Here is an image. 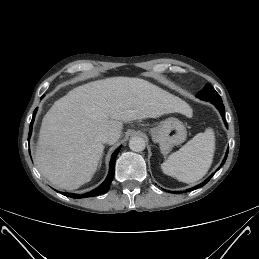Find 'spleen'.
Wrapping results in <instances>:
<instances>
[{
	"mask_svg": "<svg viewBox=\"0 0 259 259\" xmlns=\"http://www.w3.org/2000/svg\"><path fill=\"white\" fill-rule=\"evenodd\" d=\"M215 134L208 128L196 134L162 164L163 173L184 183H193L206 175L213 162Z\"/></svg>",
	"mask_w": 259,
	"mask_h": 259,
	"instance_id": "spleen-1",
	"label": "spleen"
}]
</instances>
